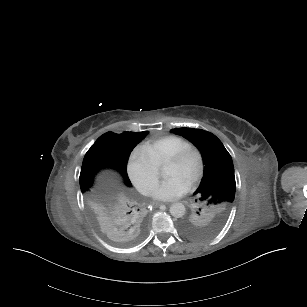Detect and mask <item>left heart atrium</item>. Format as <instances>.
Returning <instances> with one entry per match:
<instances>
[{
	"instance_id": "left-heart-atrium-1",
	"label": "left heart atrium",
	"mask_w": 307,
	"mask_h": 307,
	"mask_svg": "<svg viewBox=\"0 0 307 307\" xmlns=\"http://www.w3.org/2000/svg\"><path fill=\"white\" fill-rule=\"evenodd\" d=\"M190 188L189 182L184 178L173 175L158 180L149 189V195L160 201H171L185 195Z\"/></svg>"
}]
</instances>
